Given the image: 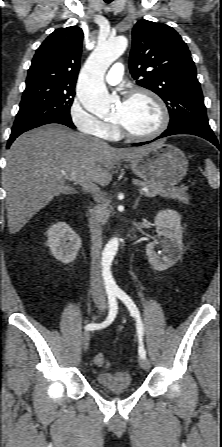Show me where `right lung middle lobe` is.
Returning a JSON list of instances; mask_svg holds the SVG:
<instances>
[{
  "label": "right lung middle lobe",
  "mask_w": 222,
  "mask_h": 447,
  "mask_svg": "<svg viewBox=\"0 0 222 447\" xmlns=\"http://www.w3.org/2000/svg\"><path fill=\"white\" fill-rule=\"evenodd\" d=\"M74 87L36 86L26 88L12 133L36 127L54 119L71 120Z\"/></svg>",
  "instance_id": "1"
}]
</instances>
